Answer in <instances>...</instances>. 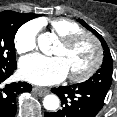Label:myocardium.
Wrapping results in <instances>:
<instances>
[{
    "label": "myocardium",
    "instance_id": "f54148a6",
    "mask_svg": "<svg viewBox=\"0 0 117 117\" xmlns=\"http://www.w3.org/2000/svg\"><path fill=\"white\" fill-rule=\"evenodd\" d=\"M82 39H89L93 43V46L95 49V58L93 63L82 73L69 74V79L73 82H82L89 79L97 72L103 60V49H102L101 43L96 36H94L89 32L83 31L79 33L70 34L66 37L61 38L60 43L64 47L69 48L75 45L77 42H79Z\"/></svg>",
    "mask_w": 117,
    "mask_h": 117
}]
</instances>
